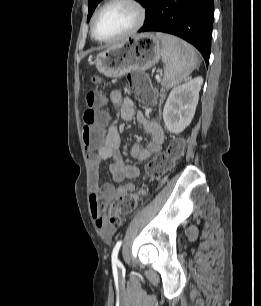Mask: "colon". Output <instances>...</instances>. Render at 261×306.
Listing matches in <instances>:
<instances>
[{
	"mask_svg": "<svg viewBox=\"0 0 261 306\" xmlns=\"http://www.w3.org/2000/svg\"><path fill=\"white\" fill-rule=\"evenodd\" d=\"M97 80L96 76L92 77ZM130 88L136 93L142 103H149L154 98V91L143 73H134L129 76ZM102 101L101 93L98 90H90L86 95L87 108L84 112L83 140L87 150L97 149L104 136L103 120L104 115L99 111L98 106ZM184 149V141L173 139L169 142L165 151L157 154L146 166V177L151 180L159 179L169 170L175 161L180 157ZM147 194L144 187L137 192L125 193L119 196L111 206L109 223L119 225L123 219L130 214L138 202Z\"/></svg>",
	"mask_w": 261,
	"mask_h": 306,
	"instance_id": "obj_1",
	"label": "colon"
}]
</instances>
